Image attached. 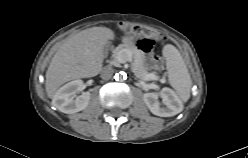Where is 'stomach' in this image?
<instances>
[{
    "instance_id": "stomach-1",
    "label": "stomach",
    "mask_w": 248,
    "mask_h": 158,
    "mask_svg": "<svg viewBox=\"0 0 248 158\" xmlns=\"http://www.w3.org/2000/svg\"><path fill=\"white\" fill-rule=\"evenodd\" d=\"M136 33L135 32H132L131 34H130V37H128V39L126 40V42H130V43H133L134 41H135V37H136Z\"/></svg>"
}]
</instances>
